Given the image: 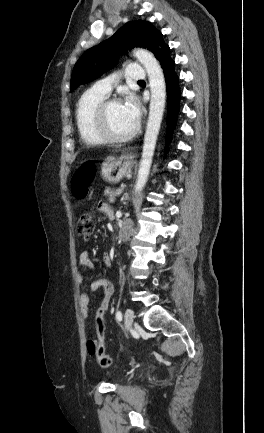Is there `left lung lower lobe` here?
<instances>
[{
    "label": "left lung lower lobe",
    "instance_id": "obj_1",
    "mask_svg": "<svg viewBox=\"0 0 264 433\" xmlns=\"http://www.w3.org/2000/svg\"><path fill=\"white\" fill-rule=\"evenodd\" d=\"M161 67L163 68L166 87H167V102H168V114H167V132H166V146L165 151L168 149V142L173 133V129L176 125V118L179 112V100L181 92L178 85V77L173 69L174 61L170 58L169 54L164 55L160 60Z\"/></svg>",
    "mask_w": 264,
    "mask_h": 433
}]
</instances>
